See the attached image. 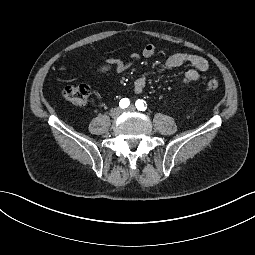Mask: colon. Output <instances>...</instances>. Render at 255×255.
Returning a JSON list of instances; mask_svg holds the SVG:
<instances>
[{
    "label": "colon",
    "instance_id": "5ec220e1",
    "mask_svg": "<svg viewBox=\"0 0 255 255\" xmlns=\"http://www.w3.org/2000/svg\"><path fill=\"white\" fill-rule=\"evenodd\" d=\"M219 82L216 79H210L206 83L209 91L218 89ZM91 93V88L87 84L70 85L62 90V96L65 100L76 106L86 105Z\"/></svg>",
    "mask_w": 255,
    "mask_h": 255
}]
</instances>
